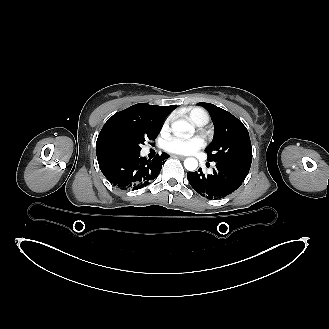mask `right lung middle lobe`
I'll return each mask as SVG.
<instances>
[{
	"instance_id": "dd1d6c3e",
	"label": "right lung middle lobe",
	"mask_w": 329,
	"mask_h": 329,
	"mask_svg": "<svg viewBox=\"0 0 329 329\" xmlns=\"http://www.w3.org/2000/svg\"><path fill=\"white\" fill-rule=\"evenodd\" d=\"M160 128L158 127L154 129L152 132L147 134H140L133 136L131 138H127L121 142V147L125 153L129 152H140L141 145L144 144L146 140L154 141L157 137L158 133L160 132Z\"/></svg>"
}]
</instances>
